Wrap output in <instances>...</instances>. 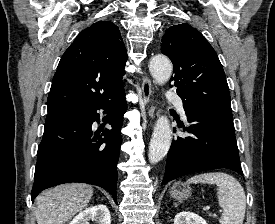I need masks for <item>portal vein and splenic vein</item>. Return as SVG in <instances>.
<instances>
[{
	"label": "portal vein and splenic vein",
	"instance_id": "1",
	"mask_svg": "<svg viewBox=\"0 0 275 224\" xmlns=\"http://www.w3.org/2000/svg\"><path fill=\"white\" fill-rule=\"evenodd\" d=\"M209 209H210V207H209V206H206V207H205V210H209Z\"/></svg>",
	"mask_w": 275,
	"mask_h": 224
}]
</instances>
